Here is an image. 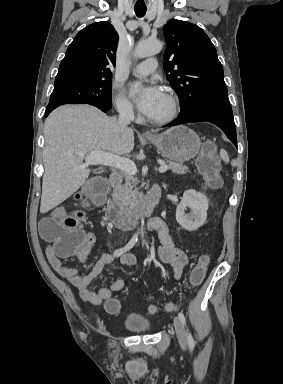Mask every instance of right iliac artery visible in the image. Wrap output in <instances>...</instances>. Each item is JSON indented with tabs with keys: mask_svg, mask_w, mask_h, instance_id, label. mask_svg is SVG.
<instances>
[{
	"mask_svg": "<svg viewBox=\"0 0 283 384\" xmlns=\"http://www.w3.org/2000/svg\"><path fill=\"white\" fill-rule=\"evenodd\" d=\"M137 242V236H133L131 238V240L122 248H119L117 250L114 251V256L115 257H119L121 256L122 254H124L125 252L129 251L131 248L134 247V245L136 244Z\"/></svg>",
	"mask_w": 283,
	"mask_h": 384,
	"instance_id": "right-iliac-artery-1",
	"label": "right iliac artery"
}]
</instances>
